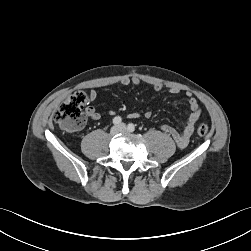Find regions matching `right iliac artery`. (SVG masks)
Here are the masks:
<instances>
[{"instance_id": "right-iliac-artery-1", "label": "right iliac artery", "mask_w": 251, "mask_h": 251, "mask_svg": "<svg viewBox=\"0 0 251 251\" xmlns=\"http://www.w3.org/2000/svg\"><path fill=\"white\" fill-rule=\"evenodd\" d=\"M122 119L119 116L114 117L113 124L119 125L121 123Z\"/></svg>"}]
</instances>
